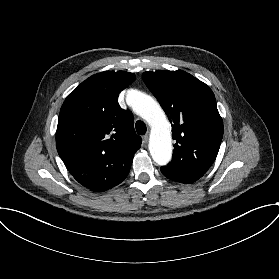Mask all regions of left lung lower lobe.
I'll list each match as a JSON object with an SVG mask.
<instances>
[{"mask_svg": "<svg viewBox=\"0 0 279 279\" xmlns=\"http://www.w3.org/2000/svg\"><path fill=\"white\" fill-rule=\"evenodd\" d=\"M161 172L163 173V175L165 177H167L168 179H171L173 181H176V182L189 184V183H193L198 180V179H194L191 177H187L185 175H182V174L172 171L170 169H167L164 166L161 167Z\"/></svg>", "mask_w": 279, "mask_h": 279, "instance_id": "0a47b994", "label": "left lung lower lobe"}]
</instances>
